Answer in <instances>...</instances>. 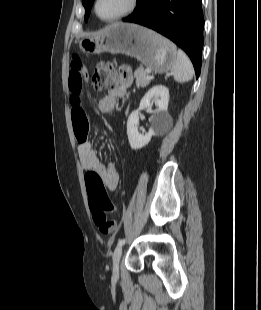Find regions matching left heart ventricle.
<instances>
[{
  "label": "left heart ventricle",
  "instance_id": "left-heart-ventricle-1",
  "mask_svg": "<svg viewBox=\"0 0 261 310\" xmlns=\"http://www.w3.org/2000/svg\"><path fill=\"white\" fill-rule=\"evenodd\" d=\"M127 0H100L98 12L104 18H110L125 9Z\"/></svg>",
  "mask_w": 261,
  "mask_h": 310
}]
</instances>
